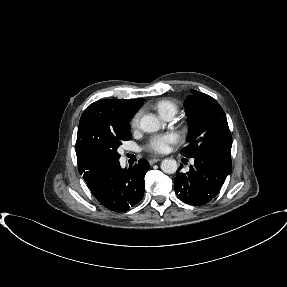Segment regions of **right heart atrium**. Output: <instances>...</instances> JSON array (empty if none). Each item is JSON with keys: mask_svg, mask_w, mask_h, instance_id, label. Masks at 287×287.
<instances>
[{"mask_svg": "<svg viewBox=\"0 0 287 287\" xmlns=\"http://www.w3.org/2000/svg\"><path fill=\"white\" fill-rule=\"evenodd\" d=\"M139 121H140V113H136L131 121L132 127L137 128L139 125Z\"/></svg>", "mask_w": 287, "mask_h": 287, "instance_id": "d8ad5b80", "label": "right heart atrium"}]
</instances>
